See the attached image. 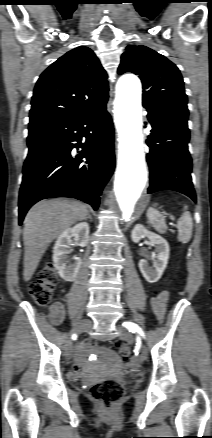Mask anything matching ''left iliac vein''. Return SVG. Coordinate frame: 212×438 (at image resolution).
<instances>
[{
	"mask_svg": "<svg viewBox=\"0 0 212 438\" xmlns=\"http://www.w3.org/2000/svg\"><path fill=\"white\" fill-rule=\"evenodd\" d=\"M120 332H121L119 335L120 339L128 341V342H130L132 340V336L129 332H127L126 330H123V329H120ZM146 356H147V350H146V347L143 346L141 349V353H140L141 360H145Z\"/></svg>",
	"mask_w": 212,
	"mask_h": 438,
	"instance_id": "obj_1",
	"label": "left iliac vein"
}]
</instances>
